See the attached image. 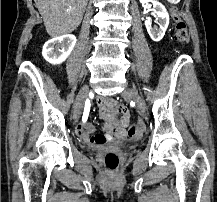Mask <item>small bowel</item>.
<instances>
[{"label":"small bowel","mask_w":217,"mask_h":202,"mask_svg":"<svg viewBox=\"0 0 217 202\" xmlns=\"http://www.w3.org/2000/svg\"><path fill=\"white\" fill-rule=\"evenodd\" d=\"M96 106L100 109V121L106 122V133L103 135H94V126L89 123H78L75 127V135L86 145L103 144L114 140H125L127 138H138L141 131L135 134L130 133V113L122 104H116L115 101H96ZM116 113H121L120 120H117Z\"/></svg>","instance_id":"small-bowel-1"}]
</instances>
